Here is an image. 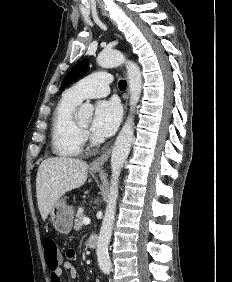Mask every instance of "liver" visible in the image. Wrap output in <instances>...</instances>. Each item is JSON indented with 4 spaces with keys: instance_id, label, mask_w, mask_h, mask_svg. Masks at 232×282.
Listing matches in <instances>:
<instances>
[{
    "instance_id": "6515ba94",
    "label": "liver",
    "mask_w": 232,
    "mask_h": 282,
    "mask_svg": "<svg viewBox=\"0 0 232 282\" xmlns=\"http://www.w3.org/2000/svg\"><path fill=\"white\" fill-rule=\"evenodd\" d=\"M87 173V163L75 158H48L40 164L36 177V196L44 221L56 201L86 182Z\"/></svg>"
}]
</instances>
